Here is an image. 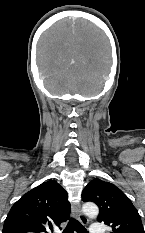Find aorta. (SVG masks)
Returning a JSON list of instances; mask_svg holds the SVG:
<instances>
[{
    "label": "aorta",
    "mask_w": 145,
    "mask_h": 233,
    "mask_svg": "<svg viewBox=\"0 0 145 233\" xmlns=\"http://www.w3.org/2000/svg\"><path fill=\"white\" fill-rule=\"evenodd\" d=\"M82 210L84 214L90 218H96L99 214L97 205L91 202L85 203L82 207Z\"/></svg>",
    "instance_id": "aorta-1"
}]
</instances>
